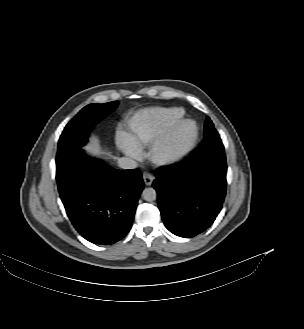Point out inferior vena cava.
Masks as SVG:
<instances>
[{
	"instance_id": "1",
	"label": "inferior vena cava",
	"mask_w": 304,
	"mask_h": 329,
	"mask_svg": "<svg viewBox=\"0 0 304 329\" xmlns=\"http://www.w3.org/2000/svg\"><path fill=\"white\" fill-rule=\"evenodd\" d=\"M118 166L122 169H134L137 167V162L128 157H122L118 159Z\"/></svg>"
}]
</instances>
